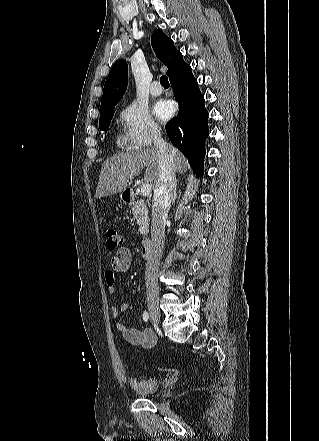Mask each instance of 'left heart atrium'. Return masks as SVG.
Returning <instances> with one entry per match:
<instances>
[{
	"label": "left heart atrium",
	"instance_id": "left-heart-atrium-1",
	"mask_svg": "<svg viewBox=\"0 0 319 441\" xmlns=\"http://www.w3.org/2000/svg\"><path fill=\"white\" fill-rule=\"evenodd\" d=\"M174 112V106L171 102L160 100L154 106V113L160 120H167Z\"/></svg>",
	"mask_w": 319,
	"mask_h": 441
}]
</instances>
